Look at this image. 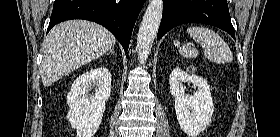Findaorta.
Segmentation results:
<instances>
[{
  "instance_id": "obj_1",
  "label": "aorta",
  "mask_w": 280,
  "mask_h": 137,
  "mask_svg": "<svg viewBox=\"0 0 280 137\" xmlns=\"http://www.w3.org/2000/svg\"><path fill=\"white\" fill-rule=\"evenodd\" d=\"M163 14V1L151 0L140 24L136 51L139 62L144 64L151 52Z\"/></svg>"
}]
</instances>
